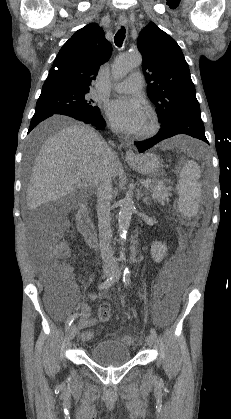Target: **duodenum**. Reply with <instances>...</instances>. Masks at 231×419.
<instances>
[{
	"instance_id": "duodenum-1",
	"label": "duodenum",
	"mask_w": 231,
	"mask_h": 419,
	"mask_svg": "<svg viewBox=\"0 0 231 419\" xmlns=\"http://www.w3.org/2000/svg\"><path fill=\"white\" fill-rule=\"evenodd\" d=\"M77 224L85 236L94 241L95 227L86 205H82L77 212Z\"/></svg>"
}]
</instances>
